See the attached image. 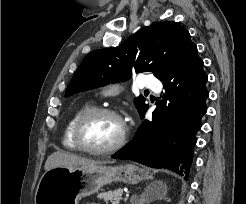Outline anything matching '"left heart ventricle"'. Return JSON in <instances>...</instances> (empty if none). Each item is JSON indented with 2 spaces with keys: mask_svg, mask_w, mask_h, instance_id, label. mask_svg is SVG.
Masks as SVG:
<instances>
[{
  "mask_svg": "<svg viewBox=\"0 0 246 204\" xmlns=\"http://www.w3.org/2000/svg\"><path fill=\"white\" fill-rule=\"evenodd\" d=\"M121 133L117 119L109 115H97L86 122L82 130V141L90 148L101 149L114 144Z\"/></svg>",
  "mask_w": 246,
  "mask_h": 204,
  "instance_id": "b2bd125f",
  "label": "left heart ventricle"
}]
</instances>
